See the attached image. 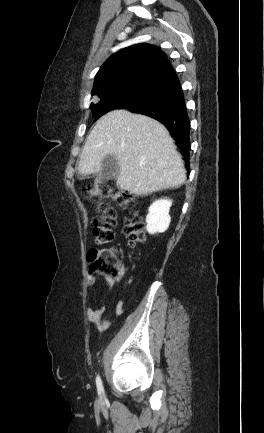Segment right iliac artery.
<instances>
[{
	"label": "right iliac artery",
	"mask_w": 264,
	"mask_h": 433,
	"mask_svg": "<svg viewBox=\"0 0 264 433\" xmlns=\"http://www.w3.org/2000/svg\"><path fill=\"white\" fill-rule=\"evenodd\" d=\"M96 385H97L98 393L101 394L103 391V385H102V380H101L99 375L96 377Z\"/></svg>",
	"instance_id": "obj_1"
}]
</instances>
